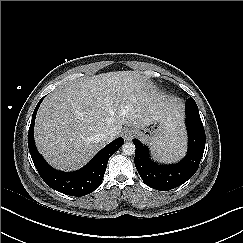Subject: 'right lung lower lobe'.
<instances>
[{
  "mask_svg": "<svg viewBox=\"0 0 243 243\" xmlns=\"http://www.w3.org/2000/svg\"><path fill=\"white\" fill-rule=\"evenodd\" d=\"M43 98L38 102L28 132V147L33 163L44 182L54 190L63 194L81 197L96 190L107 168L110 156L124 143L123 138H117L99 151L83 168L74 172L57 171L38 153L34 142V123L37 110Z\"/></svg>",
  "mask_w": 243,
  "mask_h": 243,
  "instance_id": "obj_1",
  "label": "right lung lower lobe"
}]
</instances>
